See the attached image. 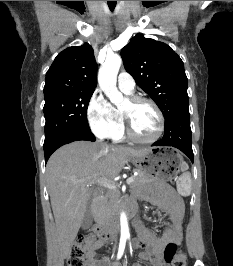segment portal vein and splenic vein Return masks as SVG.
I'll list each match as a JSON object with an SVG mask.
<instances>
[{"mask_svg": "<svg viewBox=\"0 0 233 266\" xmlns=\"http://www.w3.org/2000/svg\"><path fill=\"white\" fill-rule=\"evenodd\" d=\"M83 182H89V183L97 182L99 185L107 187L109 189H116V185H115L114 182H112L110 180H107V179H104V178L91 177V178H88V179H82V180L76 181V183H83ZM132 182H133V176L129 177L126 180V183L128 185L131 184Z\"/></svg>", "mask_w": 233, "mask_h": 266, "instance_id": "1", "label": "portal vein and splenic vein"}]
</instances>
